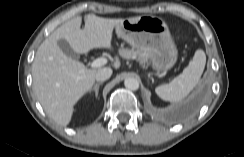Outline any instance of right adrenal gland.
I'll return each instance as SVG.
<instances>
[{"mask_svg":"<svg viewBox=\"0 0 244 157\" xmlns=\"http://www.w3.org/2000/svg\"><path fill=\"white\" fill-rule=\"evenodd\" d=\"M103 82H98L91 90L90 92L94 91L95 92V97H98V91H99V86L102 85Z\"/></svg>","mask_w":244,"mask_h":157,"instance_id":"obj_1","label":"right adrenal gland"}]
</instances>
